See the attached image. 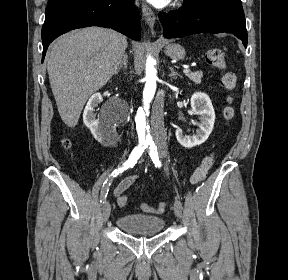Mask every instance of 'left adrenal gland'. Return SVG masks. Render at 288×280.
<instances>
[{"label": "left adrenal gland", "instance_id": "a2214340", "mask_svg": "<svg viewBox=\"0 0 288 280\" xmlns=\"http://www.w3.org/2000/svg\"><path fill=\"white\" fill-rule=\"evenodd\" d=\"M169 69H170V71H171V73H170V77H180L181 78V76L174 70V68L173 67H169Z\"/></svg>", "mask_w": 288, "mask_h": 280}]
</instances>
